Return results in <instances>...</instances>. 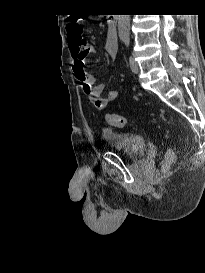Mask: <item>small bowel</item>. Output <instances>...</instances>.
Instances as JSON below:
<instances>
[{
  "mask_svg": "<svg viewBox=\"0 0 205 273\" xmlns=\"http://www.w3.org/2000/svg\"><path fill=\"white\" fill-rule=\"evenodd\" d=\"M70 52L73 57V74L80 82L83 92L90 100L93 107L96 109H104L107 104L114 101L118 97L117 90H110L105 97L102 96L105 85L103 83H96V78L87 73L85 70V61L89 54L95 53L96 48L89 46L83 49L77 43L70 41ZM105 51L110 57H115L118 51L117 39L111 33H108L105 42Z\"/></svg>",
  "mask_w": 205,
  "mask_h": 273,
  "instance_id": "1",
  "label": "small bowel"
}]
</instances>
